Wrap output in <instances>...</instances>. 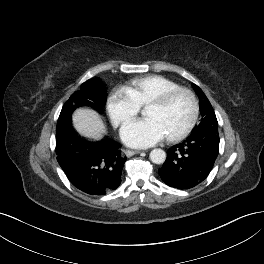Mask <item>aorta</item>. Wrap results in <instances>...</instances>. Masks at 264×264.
<instances>
[{"instance_id":"aorta-1","label":"aorta","mask_w":264,"mask_h":264,"mask_svg":"<svg viewBox=\"0 0 264 264\" xmlns=\"http://www.w3.org/2000/svg\"><path fill=\"white\" fill-rule=\"evenodd\" d=\"M150 160L155 164H163L166 160V153L162 149H153L150 152Z\"/></svg>"}]
</instances>
